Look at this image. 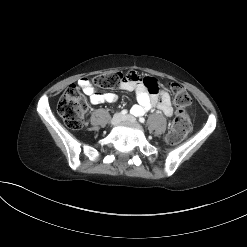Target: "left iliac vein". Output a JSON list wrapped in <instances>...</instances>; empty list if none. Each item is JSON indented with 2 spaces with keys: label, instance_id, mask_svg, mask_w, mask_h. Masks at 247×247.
Returning <instances> with one entry per match:
<instances>
[{
  "label": "left iliac vein",
  "instance_id": "left-iliac-vein-1",
  "mask_svg": "<svg viewBox=\"0 0 247 247\" xmlns=\"http://www.w3.org/2000/svg\"><path fill=\"white\" fill-rule=\"evenodd\" d=\"M122 120H130V121H135V117L132 115H126L122 117Z\"/></svg>",
  "mask_w": 247,
  "mask_h": 247
}]
</instances>
